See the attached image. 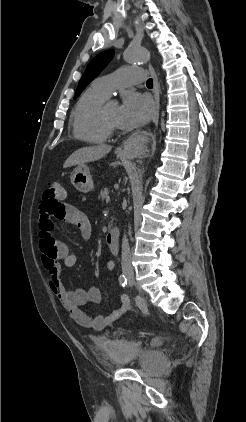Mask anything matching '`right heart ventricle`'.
Returning <instances> with one entry per match:
<instances>
[{
  "label": "right heart ventricle",
  "instance_id": "right-heart-ventricle-1",
  "mask_svg": "<svg viewBox=\"0 0 246 422\" xmlns=\"http://www.w3.org/2000/svg\"><path fill=\"white\" fill-rule=\"evenodd\" d=\"M107 98L108 96L95 86L81 95L71 116L75 137L94 144L103 143L109 138L110 131L100 119V110Z\"/></svg>",
  "mask_w": 246,
  "mask_h": 422
}]
</instances>
